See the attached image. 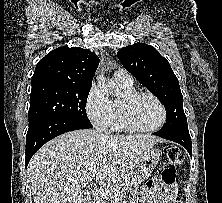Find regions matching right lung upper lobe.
Returning <instances> with one entry per match:
<instances>
[{
  "mask_svg": "<svg viewBox=\"0 0 222 203\" xmlns=\"http://www.w3.org/2000/svg\"><path fill=\"white\" fill-rule=\"evenodd\" d=\"M98 64L99 58L88 49L56 48L36 65L32 90L53 86H92Z\"/></svg>",
  "mask_w": 222,
  "mask_h": 203,
  "instance_id": "cb5924a9",
  "label": "right lung upper lobe"
}]
</instances>
